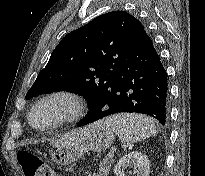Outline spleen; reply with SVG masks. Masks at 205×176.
Returning a JSON list of instances; mask_svg holds the SVG:
<instances>
[{
	"instance_id": "1",
	"label": "spleen",
	"mask_w": 205,
	"mask_h": 176,
	"mask_svg": "<svg viewBox=\"0 0 205 176\" xmlns=\"http://www.w3.org/2000/svg\"><path fill=\"white\" fill-rule=\"evenodd\" d=\"M98 125L111 129L123 143L132 144L157 134V128L144 115L121 113L107 117Z\"/></svg>"
}]
</instances>
